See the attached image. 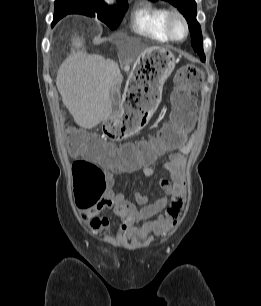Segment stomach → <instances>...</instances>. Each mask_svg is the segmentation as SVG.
I'll return each mask as SVG.
<instances>
[{
    "label": "stomach",
    "instance_id": "stomach-1",
    "mask_svg": "<svg viewBox=\"0 0 261 306\" xmlns=\"http://www.w3.org/2000/svg\"><path fill=\"white\" fill-rule=\"evenodd\" d=\"M136 63L146 66L148 74H143L137 81L133 77L124 92L120 111L115 116L125 126L124 136L133 135L147 125L161 101L163 85L177 60L168 49L152 47L146 49Z\"/></svg>",
    "mask_w": 261,
    "mask_h": 306
}]
</instances>
